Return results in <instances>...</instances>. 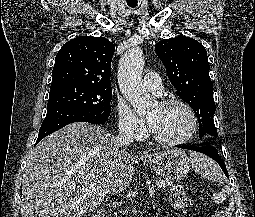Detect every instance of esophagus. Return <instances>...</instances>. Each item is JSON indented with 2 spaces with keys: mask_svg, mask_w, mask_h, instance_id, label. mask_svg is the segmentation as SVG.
I'll return each instance as SVG.
<instances>
[{
  "mask_svg": "<svg viewBox=\"0 0 255 217\" xmlns=\"http://www.w3.org/2000/svg\"><path fill=\"white\" fill-rule=\"evenodd\" d=\"M140 156H141V158H147V157H149V155H148L147 152H142V153L140 154Z\"/></svg>",
  "mask_w": 255,
  "mask_h": 217,
  "instance_id": "34e87169",
  "label": "esophagus"
}]
</instances>
